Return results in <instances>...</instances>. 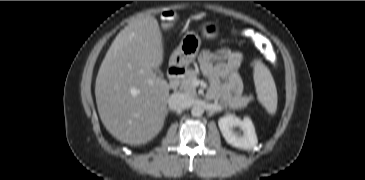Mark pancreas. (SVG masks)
Masks as SVG:
<instances>
[{
    "mask_svg": "<svg viewBox=\"0 0 365 180\" xmlns=\"http://www.w3.org/2000/svg\"><path fill=\"white\" fill-rule=\"evenodd\" d=\"M197 78L195 70L189 69L185 72L184 77L180 80V90L190 97H195L196 87L193 85V80ZM250 98L249 97H234L227 102V105L233 109L244 108L247 106Z\"/></svg>",
    "mask_w": 365,
    "mask_h": 180,
    "instance_id": "obj_1",
    "label": "pancreas"
}]
</instances>
